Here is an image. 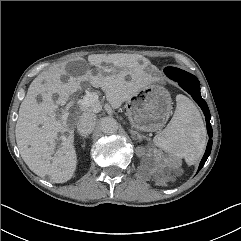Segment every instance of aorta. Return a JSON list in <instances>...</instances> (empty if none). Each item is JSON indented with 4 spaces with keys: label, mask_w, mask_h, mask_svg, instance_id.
<instances>
[{
    "label": "aorta",
    "mask_w": 241,
    "mask_h": 241,
    "mask_svg": "<svg viewBox=\"0 0 241 241\" xmlns=\"http://www.w3.org/2000/svg\"><path fill=\"white\" fill-rule=\"evenodd\" d=\"M100 128L105 134H114L118 130V123L113 117H103L100 121Z\"/></svg>",
    "instance_id": "1"
}]
</instances>
